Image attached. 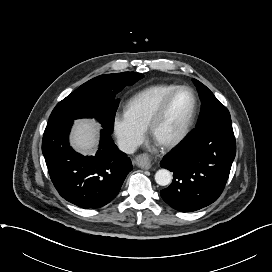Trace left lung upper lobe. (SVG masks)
Wrapping results in <instances>:
<instances>
[{
    "label": "left lung upper lobe",
    "instance_id": "1",
    "mask_svg": "<svg viewBox=\"0 0 272 272\" xmlns=\"http://www.w3.org/2000/svg\"><path fill=\"white\" fill-rule=\"evenodd\" d=\"M197 87L201 104V112L197 126L219 119L230 118L228 109L214 96V94L201 82L193 79Z\"/></svg>",
    "mask_w": 272,
    "mask_h": 272
}]
</instances>
